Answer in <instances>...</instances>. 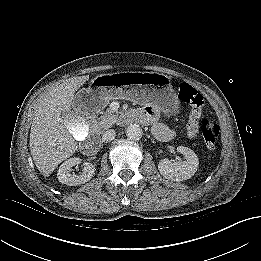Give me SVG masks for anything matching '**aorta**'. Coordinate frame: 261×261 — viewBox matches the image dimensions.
Masks as SVG:
<instances>
[{
    "instance_id": "1",
    "label": "aorta",
    "mask_w": 261,
    "mask_h": 261,
    "mask_svg": "<svg viewBox=\"0 0 261 261\" xmlns=\"http://www.w3.org/2000/svg\"><path fill=\"white\" fill-rule=\"evenodd\" d=\"M126 135L129 139L138 141L142 138L143 131L138 124H130L126 129Z\"/></svg>"
}]
</instances>
